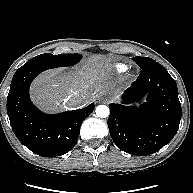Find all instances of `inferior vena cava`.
<instances>
[{
	"instance_id": "1",
	"label": "inferior vena cava",
	"mask_w": 193,
	"mask_h": 193,
	"mask_svg": "<svg viewBox=\"0 0 193 193\" xmlns=\"http://www.w3.org/2000/svg\"><path fill=\"white\" fill-rule=\"evenodd\" d=\"M66 101H67V103H68V106H70V107H79V106L85 105V103H86L85 98L82 97V96L79 95V94L70 95V96L67 98Z\"/></svg>"
}]
</instances>
